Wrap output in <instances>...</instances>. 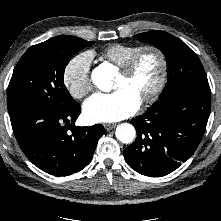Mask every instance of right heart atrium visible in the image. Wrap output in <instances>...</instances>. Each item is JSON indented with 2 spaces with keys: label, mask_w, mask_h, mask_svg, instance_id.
Segmentation results:
<instances>
[{
  "label": "right heart atrium",
  "mask_w": 221,
  "mask_h": 221,
  "mask_svg": "<svg viewBox=\"0 0 221 221\" xmlns=\"http://www.w3.org/2000/svg\"><path fill=\"white\" fill-rule=\"evenodd\" d=\"M92 54H77L68 62L63 73V82L70 95L76 99L86 96L92 89L90 68Z\"/></svg>",
  "instance_id": "1"
}]
</instances>
